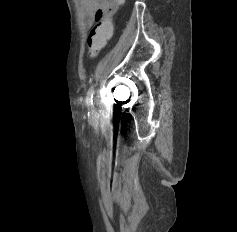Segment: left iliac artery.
<instances>
[{
	"mask_svg": "<svg viewBox=\"0 0 237 232\" xmlns=\"http://www.w3.org/2000/svg\"><path fill=\"white\" fill-rule=\"evenodd\" d=\"M95 92V85H91V87L89 88L88 92H87V96H86V105L88 106L89 109L93 108V95Z\"/></svg>",
	"mask_w": 237,
	"mask_h": 232,
	"instance_id": "44dca946",
	"label": "left iliac artery"
}]
</instances>
